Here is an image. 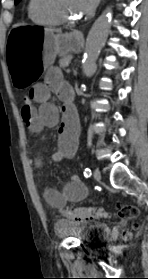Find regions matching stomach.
<instances>
[{
    "label": "stomach",
    "instance_id": "0dacf381",
    "mask_svg": "<svg viewBox=\"0 0 148 279\" xmlns=\"http://www.w3.org/2000/svg\"><path fill=\"white\" fill-rule=\"evenodd\" d=\"M5 50L10 69L9 78L15 91H30L35 82H41L57 55L80 50L78 33L56 35L46 31V25H16L6 34ZM41 49V50H36Z\"/></svg>",
    "mask_w": 148,
    "mask_h": 279
}]
</instances>
